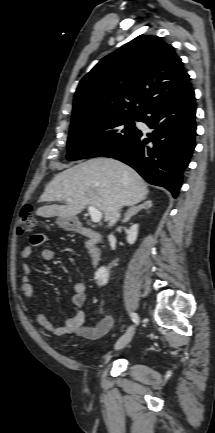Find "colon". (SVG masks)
Here are the masks:
<instances>
[{"mask_svg":"<svg viewBox=\"0 0 215 433\" xmlns=\"http://www.w3.org/2000/svg\"><path fill=\"white\" fill-rule=\"evenodd\" d=\"M37 224L31 205H25L19 213L17 220V233L24 235L32 232Z\"/></svg>","mask_w":215,"mask_h":433,"instance_id":"5ec220e1","label":"colon"}]
</instances>
